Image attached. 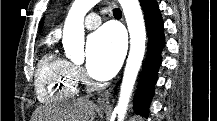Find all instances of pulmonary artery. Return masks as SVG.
Returning <instances> with one entry per match:
<instances>
[{"instance_id": "pulmonary-artery-1", "label": "pulmonary artery", "mask_w": 217, "mask_h": 121, "mask_svg": "<svg viewBox=\"0 0 217 121\" xmlns=\"http://www.w3.org/2000/svg\"><path fill=\"white\" fill-rule=\"evenodd\" d=\"M102 19L101 13L93 12L87 15L85 18V27L89 30L95 29L99 26Z\"/></svg>"}]
</instances>
